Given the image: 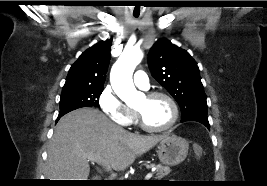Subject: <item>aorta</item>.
Here are the masks:
<instances>
[{"instance_id":"762f6f07","label":"aorta","mask_w":267,"mask_h":186,"mask_svg":"<svg viewBox=\"0 0 267 186\" xmlns=\"http://www.w3.org/2000/svg\"><path fill=\"white\" fill-rule=\"evenodd\" d=\"M142 58L143 52L140 49H126L111 69L112 88L126 104H133L141 97V93L134 86L132 75Z\"/></svg>"}]
</instances>
